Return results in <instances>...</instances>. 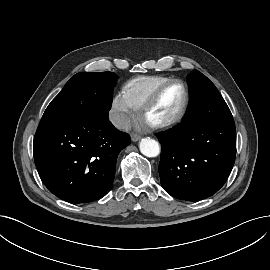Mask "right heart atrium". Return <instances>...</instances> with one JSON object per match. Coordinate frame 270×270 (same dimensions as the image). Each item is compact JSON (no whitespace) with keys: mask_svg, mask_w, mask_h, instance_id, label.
Masks as SVG:
<instances>
[{"mask_svg":"<svg viewBox=\"0 0 270 270\" xmlns=\"http://www.w3.org/2000/svg\"><path fill=\"white\" fill-rule=\"evenodd\" d=\"M135 116V109L124 92H118L112 98L109 118L118 130H126Z\"/></svg>","mask_w":270,"mask_h":270,"instance_id":"1","label":"right heart atrium"}]
</instances>
